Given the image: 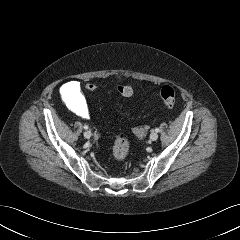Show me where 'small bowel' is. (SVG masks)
Returning a JSON list of instances; mask_svg holds the SVG:
<instances>
[{
  "instance_id": "small-bowel-1",
  "label": "small bowel",
  "mask_w": 240,
  "mask_h": 240,
  "mask_svg": "<svg viewBox=\"0 0 240 240\" xmlns=\"http://www.w3.org/2000/svg\"><path fill=\"white\" fill-rule=\"evenodd\" d=\"M61 94L67 106L77 115L88 118L89 109L87 102L81 92L80 84L77 81H69L61 88ZM147 133L146 126L133 128V134L139 140L143 139Z\"/></svg>"
}]
</instances>
